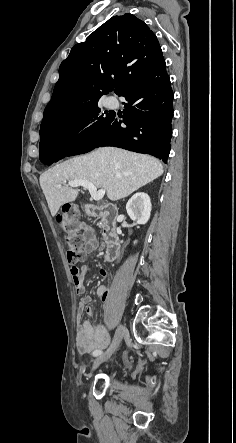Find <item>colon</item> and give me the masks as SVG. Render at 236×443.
<instances>
[{"label": "colon", "instance_id": "colon-1", "mask_svg": "<svg viewBox=\"0 0 236 443\" xmlns=\"http://www.w3.org/2000/svg\"><path fill=\"white\" fill-rule=\"evenodd\" d=\"M74 212L71 207L61 210L57 215V221L65 227L64 242L66 245V258L71 264L81 262L85 258L83 240L80 235L83 226L73 219ZM76 267V266H73Z\"/></svg>", "mask_w": 236, "mask_h": 443}]
</instances>
